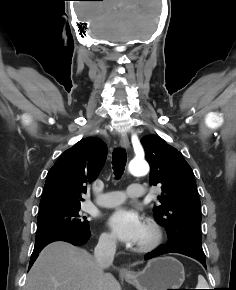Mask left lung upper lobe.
Here are the masks:
<instances>
[{
    "label": "left lung upper lobe",
    "mask_w": 236,
    "mask_h": 290,
    "mask_svg": "<svg viewBox=\"0 0 236 290\" xmlns=\"http://www.w3.org/2000/svg\"><path fill=\"white\" fill-rule=\"evenodd\" d=\"M141 144L150 164V185H162L161 205L153 212L168 232V245H184L204 254L200 199L191 167L177 149L156 135L144 136Z\"/></svg>",
    "instance_id": "obj_1"
}]
</instances>
